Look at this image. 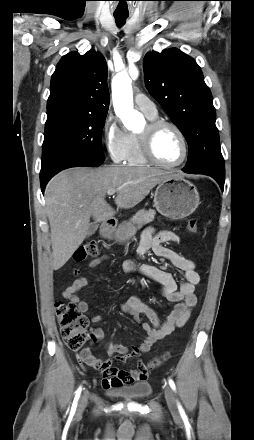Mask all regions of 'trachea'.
Instances as JSON below:
<instances>
[{
    "label": "trachea",
    "instance_id": "trachea-1",
    "mask_svg": "<svg viewBox=\"0 0 254 440\" xmlns=\"http://www.w3.org/2000/svg\"><path fill=\"white\" fill-rule=\"evenodd\" d=\"M114 17H115V20H116V24L118 26H122V25H124V23H125V21H126L128 16L115 15Z\"/></svg>",
    "mask_w": 254,
    "mask_h": 440
}]
</instances>
